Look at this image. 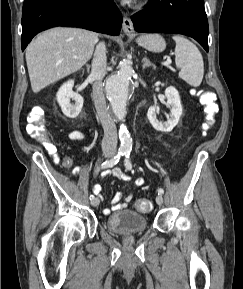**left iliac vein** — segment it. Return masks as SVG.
I'll list each match as a JSON object with an SVG mask.
<instances>
[{
    "label": "left iliac vein",
    "mask_w": 243,
    "mask_h": 289,
    "mask_svg": "<svg viewBox=\"0 0 243 289\" xmlns=\"http://www.w3.org/2000/svg\"><path fill=\"white\" fill-rule=\"evenodd\" d=\"M163 202H164V200H163L162 195H159V194H158V195L156 196V203H157L158 205H162Z\"/></svg>",
    "instance_id": "obj_1"
}]
</instances>
